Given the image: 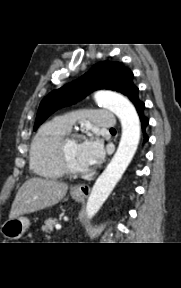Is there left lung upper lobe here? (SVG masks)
<instances>
[{
    "mask_svg": "<svg viewBox=\"0 0 181 288\" xmlns=\"http://www.w3.org/2000/svg\"><path fill=\"white\" fill-rule=\"evenodd\" d=\"M133 73L120 62L103 61L93 66L77 80L53 90L40 103L34 130L58 107L81 100L90 92L110 89L126 95L130 100L138 92L132 82Z\"/></svg>",
    "mask_w": 181,
    "mask_h": 288,
    "instance_id": "5c2ea615",
    "label": "left lung upper lobe"
}]
</instances>
